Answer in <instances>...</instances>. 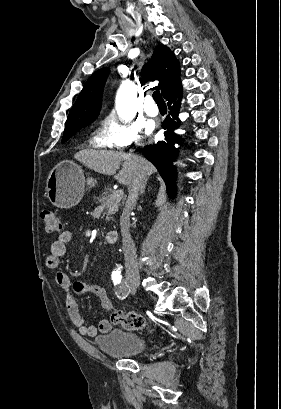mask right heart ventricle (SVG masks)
<instances>
[{
    "mask_svg": "<svg viewBox=\"0 0 281 409\" xmlns=\"http://www.w3.org/2000/svg\"><path fill=\"white\" fill-rule=\"evenodd\" d=\"M94 146L98 148L104 147L103 143L100 141L99 137H97L94 141Z\"/></svg>",
    "mask_w": 281,
    "mask_h": 409,
    "instance_id": "e07e8e85",
    "label": "right heart ventricle"
}]
</instances>
